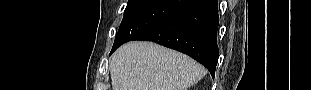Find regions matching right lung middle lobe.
<instances>
[{"label":"right lung middle lobe","instance_id":"obj_1","mask_svg":"<svg viewBox=\"0 0 311 90\" xmlns=\"http://www.w3.org/2000/svg\"><path fill=\"white\" fill-rule=\"evenodd\" d=\"M189 0H129L113 49L159 25Z\"/></svg>","mask_w":311,"mask_h":90}]
</instances>
